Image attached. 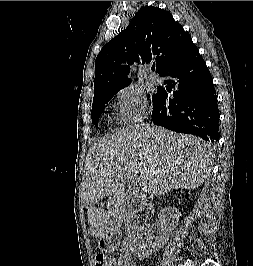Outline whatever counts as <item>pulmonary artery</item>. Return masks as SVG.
<instances>
[{"label": "pulmonary artery", "instance_id": "e3ab8cb5", "mask_svg": "<svg viewBox=\"0 0 253 266\" xmlns=\"http://www.w3.org/2000/svg\"><path fill=\"white\" fill-rule=\"evenodd\" d=\"M151 79H152V81H153L155 84H160V83L162 82V79H161L159 76L154 75V74H152Z\"/></svg>", "mask_w": 253, "mask_h": 266}]
</instances>
